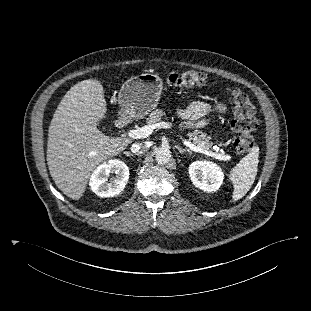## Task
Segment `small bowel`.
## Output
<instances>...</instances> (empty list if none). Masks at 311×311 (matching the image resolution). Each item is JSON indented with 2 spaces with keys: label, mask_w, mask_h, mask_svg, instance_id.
<instances>
[{
  "label": "small bowel",
  "mask_w": 311,
  "mask_h": 311,
  "mask_svg": "<svg viewBox=\"0 0 311 311\" xmlns=\"http://www.w3.org/2000/svg\"><path fill=\"white\" fill-rule=\"evenodd\" d=\"M216 110L220 113H224L227 110L225 104H218L216 106H210L209 104L196 101L191 103L186 108H179L177 110L178 116L184 120L185 126L200 127L206 124L205 116L211 111Z\"/></svg>",
  "instance_id": "obj_1"
}]
</instances>
